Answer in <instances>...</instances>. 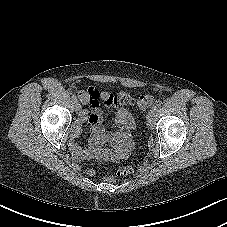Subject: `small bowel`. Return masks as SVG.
<instances>
[{
  "label": "small bowel",
  "mask_w": 227,
  "mask_h": 227,
  "mask_svg": "<svg viewBox=\"0 0 227 227\" xmlns=\"http://www.w3.org/2000/svg\"><path fill=\"white\" fill-rule=\"evenodd\" d=\"M79 99L86 108L75 121L70 137V149L78 158H97L104 160H118L128 156L132 149L131 131L134 119L124 104L116 100V94L106 91L100 92L94 87L78 92ZM100 101L107 107L115 108V130L107 133L104 128V119L100 110ZM92 125V137L89 147L84 148L77 143L84 122ZM110 143L113 149L103 148Z\"/></svg>",
  "instance_id": "1"
}]
</instances>
